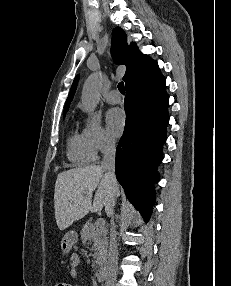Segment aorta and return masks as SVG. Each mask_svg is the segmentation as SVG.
Returning <instances> with one entry per match:
<instances>
[{
    "label": "aorta",
    "instance_id": "aorta-1",
    "mask_svg": "<svg viewBox=\"0 0 231 286\" xmlns=\"http://www.w3.org/2000/svg\"><path fill=\"white\" fill-rule=\"evenodd\" d=\"M103 76L101 73L91 74L85 81L82 89L81 101L84 109L93 112L99 102Z\"/></svg>",
    "mask_w": 231,
    "mask_h": 286
}]
</instances>
